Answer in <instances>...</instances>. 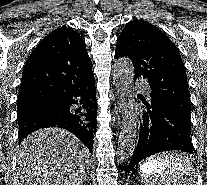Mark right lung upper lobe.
I'll return each instance as SVG.
<instances>
[{
    "instance_id": "obj_1",
    "label": "right lung upper lobe",
    "mask_w": 207,
    "mask_h": 185,
    "mask_svg": "<svg viewBox=\"0 0 207 185\" xmlns=\"http://www.w3.org/2000/svg\"><path fill=\"white\" fill-rule=\"evenodd\" d=\"M93 77L85 42L70 26L49 33L25 63L17 112L52 103L74 84Z\"/></svg>"
}]
</instances>
